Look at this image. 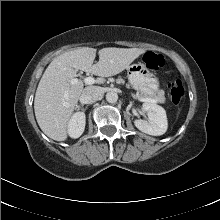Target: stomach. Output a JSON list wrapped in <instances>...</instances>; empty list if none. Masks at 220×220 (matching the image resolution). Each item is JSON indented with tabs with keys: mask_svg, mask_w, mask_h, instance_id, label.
I'll return each mask as SVG.
<instances>
[{
	"mask_svg": "<svg viewBox=\"0 0 220 220\" xmlns=\"http://www.w3.org/2000/svg\"><path fill=\"white\" fill-rule=\"evenodd\" d=\"M127 71L130 85L141 95L156 97L162 92L159 88L158 77L143 64H132L127 68Z\"/></svg>",
	"mask_w": 220,
	"mask_h": 220,
	"instance_id": "0dacf381",
	"label": "stomach"
}]
</instances>
